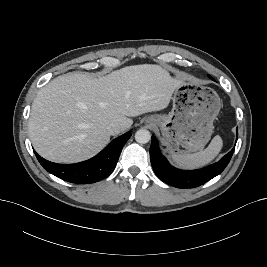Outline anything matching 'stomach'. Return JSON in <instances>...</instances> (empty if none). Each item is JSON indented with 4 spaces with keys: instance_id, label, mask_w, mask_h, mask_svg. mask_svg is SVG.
Listing matches in <instances>:
<instances>
[{
    "instance_id": "stomach-1",
    "label": "stomach",
    "mask_w": 267,
    "mask_h": 267,
    "mask_svg": "<svg viewBox=\"0 0 267 267\" xmlns=\"http://www.w3.org/2000/svg\"><path fill=\"white\" fill-rule=\"evenodd\" d=\"M220 108L221 100L214 89L185 80L173 93L171 112L152 115L146 122L160 127L163 144L171 154H186L208 143Z\"/></svg>"
}]
</instances>
